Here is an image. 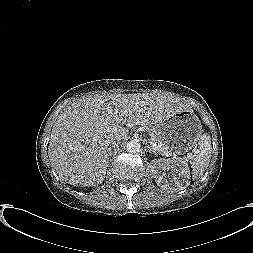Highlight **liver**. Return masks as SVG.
Segmentation results:
<instances>
[{
    "instance_id": "1",
    "label": "liver",
    "mask_w": 253,
    "mask_h": 253,
    "mask_svg": "<svg viewBox=\"0 0 253 253\" xmlns=\"http://www.w3.org/2000/svg\"><path fill=\"white\" fill-rule=\"evenodd\" d=\"M189 109L171 94L105 93L89 95L67 106L54 123L48 147L52 167L73 185H98L105 179L111 143L124 139L132 125H157Z\"/></svg>"
}]
</instances>
